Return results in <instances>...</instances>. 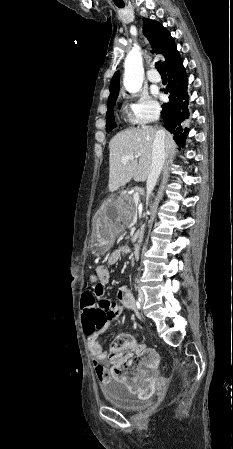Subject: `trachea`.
Segmentation results:
<instances>
[{
  "instance_id": "obj_1",
  "label": "trachea",
  "mask_w": 233,
  "mask_h": 449,
  "mask_svg": "<svg viewBox=\"0 0 233 449\" xmlns=\"http://www.w3.org/2000/svg\"><path fill=\"white\" fill-rule=\"evenodd\" d=\"M119 8H122L123 6H118ZM155 67H156V69L158 70V72L160 73V74H166V71H165V69L163 68V65H162V63L161 62H156L155 63Z\"/></svg>"
}]
</instances>
